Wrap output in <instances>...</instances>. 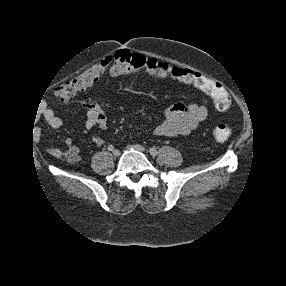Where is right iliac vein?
I'll list each match as a JSON object with an SVG mask.
<instances>
[{"label":"right iliac vein","mask_w":286,"mask_h":286,"mask_svg":"<svg viewBox=\"0 0 286 286\" xmlns=\"http://www.w3.org/2000/svg\"><path fill=\"white\" fill-rule=\"evenodd\" d=\"M112 154L114 157H118L120 155V151L115 149V150H113Z\"/></svg>","instance_id":"obj_1"}]
</instances>
